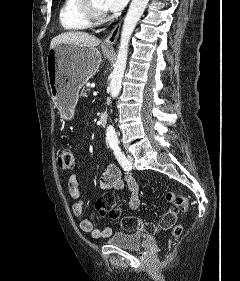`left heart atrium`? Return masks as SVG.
Instances as JSON below:
<instances>
[{
    "instance_id": "obj_1",
    "label": "left heart atrium",
    "mask_w": 240,
    "mask_h": 281,
    "mask_svg": "<svg viewBox=\"0 0 240 281\" xmlns=\"http://www.w3.org/2000/svg\"><path fill=\"white\" fill-rule=\"evenodd\" d=\"M104 7L109 11H119L125 7L129 0H104Z\"/></svg>"
}]
</instances>
